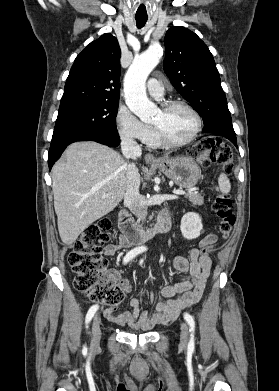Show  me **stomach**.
<instances>
[{
  "mask_svg": "<svg viewBox=\"0 0 279 391\" xmlns=\"http://www.w3.org/2000/svg\"><path fill=\"white\" fill-rule=\"evenodd\" d=\"M156 167L181 188L194 187L200 178L199 166L186 156L162 157Z\"/></svg>",
  "mask_w": 279,
  "mask_h": 391,
  "instance_id": "stomach-1",
  "label": "stomach"
}]
</instances>
